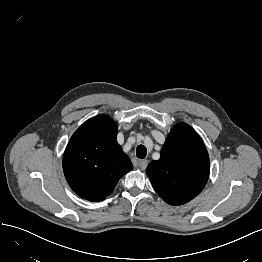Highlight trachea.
<instances>
[{"label": "trachea", "instance_id": "3493384b", "mask_svg": "<svg viewBox=\"0 0 262 262\" xmlns=\"http://www.w3.org/2000/svg\"><path fill=\"white\" fill-rule=\"evenodd\" d=\"M147 155V149L144 145H139L136 149V156L140 159H144Z\"/></svg>", "mask_w": 262, "mask_h": 262}]
</instances>
